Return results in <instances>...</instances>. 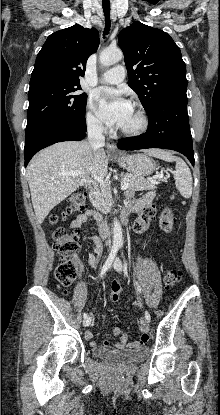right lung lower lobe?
Masks as SVG:
<instances>
[{"mask_svg":"<svg viewBox=\"0 0 220 415\" xmlns=\"http://www.w3.org/2000/svg\"><path fill=\"white\" fill-rule=\"evenodd\" d=\"M86 123L74 125L47 124L26 135L24 156L25 167L39 150L61 141H80L86 136Z\"/></svg>","mask_w":220,"mask_h":415,"instance_id":"right-lung-lower-lobe-1","label":"right lung lower lobe"}]
</instances>
